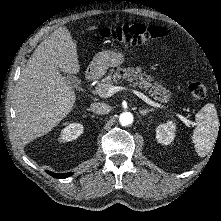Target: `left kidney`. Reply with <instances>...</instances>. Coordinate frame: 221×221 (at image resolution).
I'll return each instance as SVG.
<instances>
[{
	"label": "left kidney",
	"instance_id": "obj_1",
	"mask_svg": "<svg viewBox=\"0 0 221 221\" xmlns=\"http://www.w3.org/2000/svg\"><path fill=\"white\" fill-rule=\"evenodd\" d=\"M176 126L172 121L161 124L156 129V138L159 143L164 145L170 144L175 137Z\"/></svg>",
	"mask_w": 221,
	"mask_h": 221
}]
</instances>
